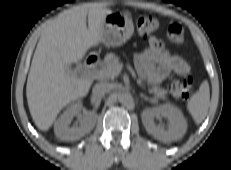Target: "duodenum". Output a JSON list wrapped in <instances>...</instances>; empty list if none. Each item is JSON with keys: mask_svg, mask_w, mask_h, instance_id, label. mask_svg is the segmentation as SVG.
Masks as SVG:
<instances>
[{"mask_svg": "<svg viewBox=\"0 0 231 170\" xmlns=\"http://www.w3.org/2000/svg\"><path fill=\"white\" fill-rule=\"evenodd\" d=\"M99 63H100L99 57L97 55H94V54L87 55L85 60H84V65L88 69H92V68L97 67L99 65Z\"/></svg>", "mask_w": 231, "mask_h": 170, "instance_id": "410a0bca", "label": "duodenum"}]
</instances>
